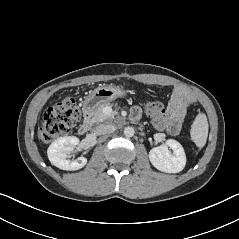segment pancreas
Here are the masks:
<instances>
[{"label":"pancreas","instance_id":"cf45deb5","mask_svg":"<svg viewBox=\"0 0 239 239\" xmlns=\"http://www.w3.org/2000/svg\"><path fill=\"white\" fill-rule=\"evenodd\" d=\"M109 106V104L102 105L99 107L93 116V121L95 123H101V122H111L114 119L115 113H111L109 115L104 113V109Z\"/></svg>","mask_w":239,"mask_h":239}]
</instances>
